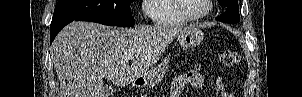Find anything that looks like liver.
I'll use <instances>...</instances> for the list:
<instances>
[{
	"label": "liver",
	"mask_w": 302,
	"mask_h": 97,
	"mask_svg": "<svg viewBox=\"0 0 302 97\" xmlns=\"http://www.w3.org/2000/svg\"><path fill=\"white\" fill-rule=\"evenodd\" d=\"M185 29L177 25L113 29L93 22L68 24L51 47L59 97H101L104 78L120 87L130 84L148 73ZM131 55L134 59L129 65Z\"/></svg>",
	"instance_id": "6515ba94"
}]
</instances>
